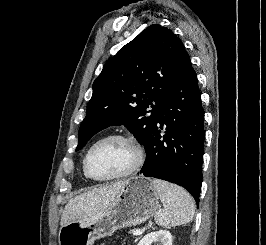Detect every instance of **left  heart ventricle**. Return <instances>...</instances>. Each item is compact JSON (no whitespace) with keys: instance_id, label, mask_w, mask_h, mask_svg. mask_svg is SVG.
<instances>
[{"instance_id":"obj_1","label":"left heart ventricle","mask_w":266,"mask_h":245,"mask_svg":"<svg viewBox=\"0 0 266 245\" xmlns=\"http://www.w3.org/2000/svg\"><path fill=\"white\" fill-rule=\"evenodd\" d=\"M136 157L135 148L128 142L110 139L100 143L89 158V171L98 178H108L125 173Z\"/></svg>"}]
</instances>
